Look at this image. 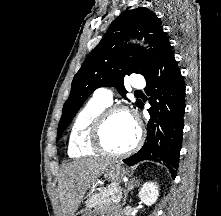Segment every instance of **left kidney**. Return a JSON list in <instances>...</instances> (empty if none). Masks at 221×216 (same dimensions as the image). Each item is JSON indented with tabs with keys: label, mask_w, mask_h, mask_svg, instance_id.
Segmentation results:
<instances>
[{
	"label": "left kidney",
	"mask_w": 221,
	"mask_h": 216,
	"mask_svg": "<svg viewBox=\"0 0 221 216\" xmlns=\"http://www.w3.org/2000/svg\"><path fill=\"white\" fill-rule=\"evenodd\" d=\"M138 196L141 202H143L147 206H151L158 199L159 196L158 186L154 182H146L141 187Z\"/></svg>",
	"instance_id": "obj_1"
}]
</instances>
